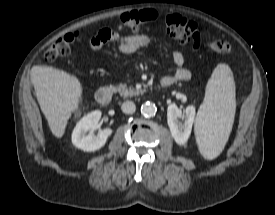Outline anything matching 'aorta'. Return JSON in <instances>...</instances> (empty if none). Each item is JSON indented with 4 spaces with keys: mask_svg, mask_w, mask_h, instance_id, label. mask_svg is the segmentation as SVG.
I'll use <instances>...</instances> for the list:
<instances>
[{
    "mask_svg": "<svg viewBox=\"0 0 275 215\" xmlns=\"http://www.w3.org/2000/svg\"><path fill=\"white\" fill-rule=\"evenodd\" d=\"M156 112L157 107L153 103L147 102L142 104L141 106V113L145 117H153L155 116Z\"/></svg>",
    "mask_w": 275,
    "mask_h": 215,
    "instance_id": "762f6f07",
    "label": "aorta"
}]
</instances>
